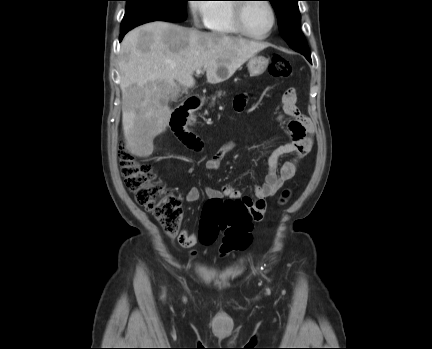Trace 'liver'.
Wrapping results in <instances>:
<instances>
[{
	"label": "liver",
	"instance_id": "liver-1",
	"mask_svg": "<svg viewBox=\"0 0 432 349\" xmlns=\"http://www.w3.org/2000/svg\"><path fill=\"white\" fill-rule=\"evenodd\" d=\"M267 47L161 21L129 31L121 43L119 70L122 124L131 153L147 157L153 152L154 138L170 121L168 101L178 95L177 83L194 87L198 69L206 71L208 83L222 82Z\"/></svg>",
	"mask_w": 432,
	"mask_h": 349
}]
</instances>
